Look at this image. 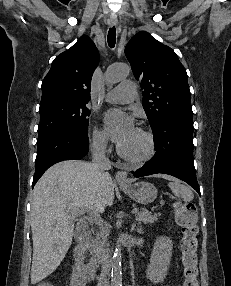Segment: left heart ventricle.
<instances>
[{
    "instance_id": "1",
    "label": "left heart ventricle",
    "mask_w": 231,
    "mask_h": 286,
    "mask_svg": "<svg viewBox=\"0 0 231 286\" xmlns=\"http://www.w3.org/2000/svg\"><path fill=\"white\" fill-rule=\"evenodd\" d=\"M122 149L129 155L139 156L143 154L147 148L145 138L137 131L121 145Z\"/></svg>"
}]
</instances>
